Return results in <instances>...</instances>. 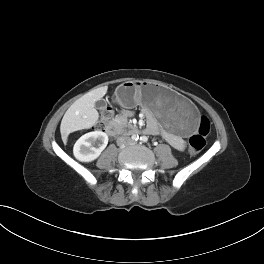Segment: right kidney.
<instances>
[{"mask_svg": "<svg viewBox=\"0 0 264 264\" xmlns=\"http://www.w3.org/2000/svg\"><path fill=\"white\" fill-rule=\"evenodd\" d=\"M101 142L99 147L93 145ZM108 144V136L102 131H93L81 136L75 143L73 154L81 162H91L97 159Z\"/></svg>", "mask_w": 264, "mask_h": 264, "instance_id": "right-kidney-1", "label": "right kidney"}]
</instances>
